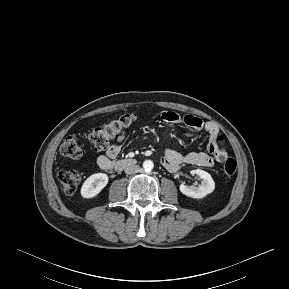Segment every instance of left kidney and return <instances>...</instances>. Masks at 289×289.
<instances>
[{"instance_id": "1", "label": "left kidney", "mask_w": 289, "mask_h": 289, "mask_svg": "<svg viewBox=\"0 0 289 289\" xmlns=\"http://www.w3.org/2000/svg\"><path fill=\"white\" fill-rule=\"evenodd\" d=\"M191 174L198 175L202 179L201 184L198 187L181 184L179 189L182 194L191 198L199 199L214 191L215 182L208 172L201 169H196L192 170Z\"/></svg>"}]
</instances>
